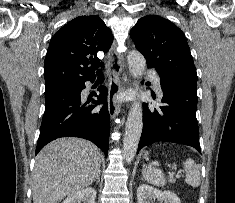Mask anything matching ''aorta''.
<instances>
[{
	"mask_svg": "<svg viewBox=\"0 0 235 203\" xmlns=\"http://www.w3.org/2000/svg\"><path fill=\"white\" fill-rule=\"evenodd\" d=\"M127 58L130 74L135 79L140 78L146 66L144 56L137 51H131ZM142 128V105L139 101H134L127 117L123 140V157L127 163H131L135 157Z\"/></svg>",
	"mask_w": 235,
	"mask_h": 203,
	"instance_id": "1",
	"label": "aorta"
}]
</instances>
